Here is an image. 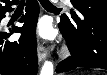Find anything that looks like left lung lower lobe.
Listing matches in <instances>:
<instances>
[{
	"label": "left lung lower lobe",
	"instance_id": "1",
	"mask_svg": "<svg viewBox=\"0 0 107 75\" xmlns=\"http://www.w3.org/2000/svg\"><path fill=\"white\" fill-rule=\"evenodd\" d=\"M72 4L74 5L73 2ZM59 29L67 42L71 56L59 63L56 69L57 72L70 71L77 67L102 68L107 70L106 17H100L92 20L83 19V24L80 27L83 36H79L78 39L82 40L81 38L84 37L90 44L91 52L89 54H82L75 51L78 46H80V48L84 47L82 46L83 43L77 44L79 40L74 38V34L70 33L60 24Z\"/></svg>",
	"mask_w": 107,
	"mask_h": 75
}]
</instances>
